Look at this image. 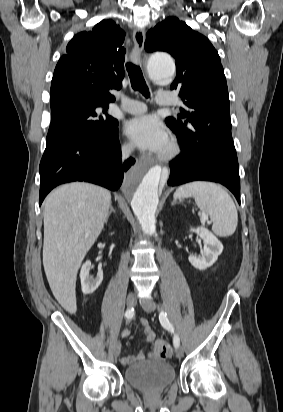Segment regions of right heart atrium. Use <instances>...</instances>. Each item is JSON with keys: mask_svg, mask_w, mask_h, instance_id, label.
Returning <instances> with one entry per match:
<instances>
[{"mask_svg": "<svg viewBox=\"0 0 283 412\" xmlns=\"http://www.w3.org/2000/svg\"><path fill=\"white\" fill-rule=\"evenodd\" d=\"M121 150L124 155H129L133 151V146L126 142L122 144Z\"/></svg>", "mask_w": 283, "mask_h": 412, "instance_id": "1", "label": "right heart atrium"}]
</instances>
